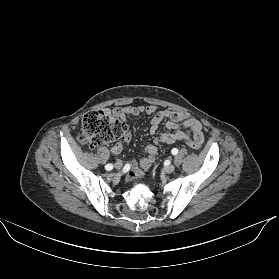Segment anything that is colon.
Here are the masks:
<instances>
[{
    "label": "colon",
    "instance_id": "colon-1",
    "mask_svg": "<svg viewBox=\"0 0 279 279\" xmlns=\"http://www.w3.org/2000/svg\"><path fill=\"white\" fill-rule=\"evenodd\" d=\"M126 126L117 112L110 110H93L82 118L78 139L84 144L98 146L121 138ZM190 148L199 150L201 145L194 141H184Z\"/></svg>",
    "mask_w": 279,
    "mask_h": 279
}]
</instances>
